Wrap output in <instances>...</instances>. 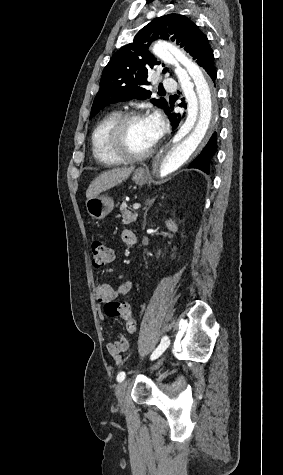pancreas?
<instances>
[{
	"mask_svg": "<svg viewBox=\"0 0 283 475\" xmlns=\"http://www.w3.org/2000/svg\"><path fill=\"white\" fill-rule=\"evenodd\" d=\"M120 212L121 216H116V218H123L122 224H131V222H136L138 218L137 212H133L132 214V212H129V210H127L125 202H122L120 206Z\"/></svg>",
	"mask_w": 283,
	"mask_h": 475,
	"instance_id": "cf45deb5",
	"label": "pancreas"
}]
</instances>
